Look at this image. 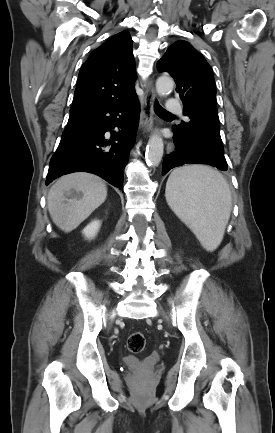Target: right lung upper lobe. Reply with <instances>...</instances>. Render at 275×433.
I'll use <instances>...</instances> for the list:
<instances>
[{
	"instance_id": "1",
	"label": "right lung upper lobe",
	"mask_w": 275,
	"mask_h": 433,
	"mask_svg": "<svg viewBox=\"0 0 275 433\" xmlns=\"http://www.w3.org/2000/svg\"><path fill=\"white\" fill-rule=\"evenodd\" d=\"M135 80L132 39L122 31L92 51L82 65L70 116L98 104L132 98Z\"/></svg>"
}]
</instances>
